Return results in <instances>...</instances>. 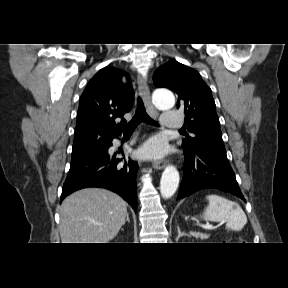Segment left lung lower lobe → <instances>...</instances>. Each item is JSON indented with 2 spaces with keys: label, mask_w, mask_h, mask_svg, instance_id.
<instances>
[{
  "label": "left lung lower lobe",
  "mask_w": 288,
  "mask_h": 288,
  "mask_svg": "<svg viewBox=\"0 0 288 288\" xmlns=\"http://www.w3.org/2000/svg\"><path fill=\"white\" fill-rule=\"evenodd\" d=\"M183 179L177 199L207 188L229 192L245 201L228 161L203 150L185 151Z\"/></svg>",
  "instance_id": "0a47b994"
}]
</instances>
